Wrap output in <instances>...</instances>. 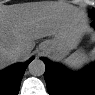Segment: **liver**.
Here are the masks:
<instances>
[{"instance_id":"1","label":"liver","mask_w":95,"mask_h":95,"mask_svg":"<svg viewBox=\"0 0 95 95\" xmlns=\"http://www.w3.org/2000/svg\"><path fill=\"white\" fill-rule=\"evenodd\" d=\"M81 20L82 16L77 9L52 2L2 6L0 9L1 68L28 58L37 39L55 36L60 30L72 24H80L84 29ZM16 47L22 50L20 58L13 54Z\"/></svg>"}]
</instances>
